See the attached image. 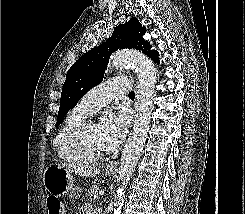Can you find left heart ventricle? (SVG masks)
Listing matches in <instances>:
<instances>
[{
    "instance_id": "b2bd125f",
    "label": "left heart ventricle",
    "mask_w": 245,
    "mask_h": 214,
    "mask_svg": "<svg viewBox=\"0 0 245 214\" xmlns=\"http://www.w3.org/2000/svg\"><path fill=\"white\" fill-rule=\"evenodd\" d=\"M84 144L88 152L92 154L105 153L106 150L99 138L96 124H91L86 129Z\"/></svg>"
}]
</instances>
